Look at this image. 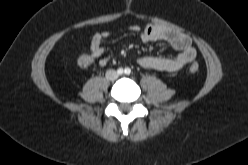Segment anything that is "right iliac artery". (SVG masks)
<instances>
[{"label": "right iliac artery", "instance_id": "right-iliac-artery-1", "mask_svg": "<svg viewBox=\"0 0 248 165\" xmlns=\"http://www.w3.org/2000/svg\"><path fill=\"white\" fill-rule=\"evenodd\" d=\"M117 72H118V74H122L123 73V69L122 68H119Z\"/></svg>", "mask_w": 248, "mask_h": 165}]
</instances>
